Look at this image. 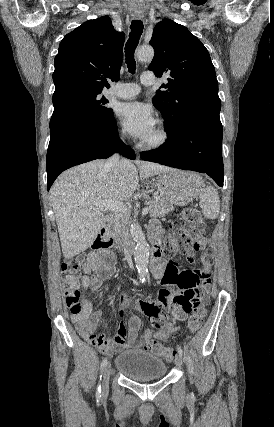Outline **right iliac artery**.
Segmentation results:
<instances>
[{
    "label": "right iliac artery",
    "instance_id": "right-iliac-artery-1",
    "mask_svg": "<svg viewBox=\"0 0 274 427\" xmlns=\"http://www.w3.org/2000/svg\"><path fill=\"white\" fill-rule=\"evenodd\" d=\"M106 365H107V358H105L102 361V363H101V372L106 367ZM101 377H102V375H100V380H101ZM96 398H97V400L101 398V384H100V381H99V384L97 385Z\"/></svg>",
    "mask_w": 274,
    "mask_h": 427
}]
</instances>
